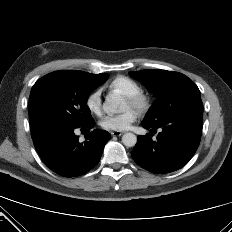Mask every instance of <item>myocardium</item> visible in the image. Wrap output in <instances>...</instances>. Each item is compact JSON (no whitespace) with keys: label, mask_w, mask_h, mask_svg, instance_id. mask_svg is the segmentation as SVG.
Returning <instances> with one entry per match:
<instances>
[{"label":"myocardium","mask_w":232,"mask_h":232,"mask_svg":"<svg viewBox=\"0 0 232 232\" xmlns=\"http://www.w3.org/2000/svg\"><path fill=\"white\" fill-rule=\"evenodd\" d=\"M125 97L126 100L129 102L131 108L135 109L138 112H144L149 105L148 97L142 92Z\"/></svg>","instance_id":"f54148a6"}]
</instances>
